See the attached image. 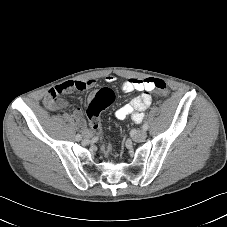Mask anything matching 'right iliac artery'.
<instances>
[{"mask_svg": "<svg viewBox=\"0 0 227 227\" xmlns=\"http://www.w3.org/2000/svg\"><path fill=\"white\" fill-rule=\"evenodd\" d=\"M75 138L77 141H80L82 139V136L80 134H77Z\"/></svg>", "mask_w": 227, "mask_h": 227, "instance_id": "1", "label": "right iliac artery"}]
</instances>
